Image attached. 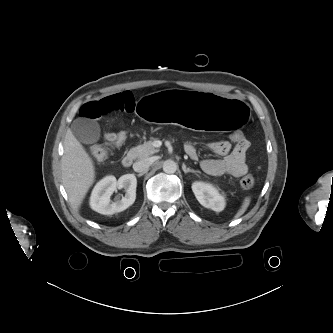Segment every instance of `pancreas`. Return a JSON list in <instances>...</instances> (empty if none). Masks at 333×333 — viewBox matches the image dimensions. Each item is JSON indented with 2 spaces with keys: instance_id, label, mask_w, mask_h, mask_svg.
I'll return each mask as SVG.
<instances>
[{
  "instance_id": "1",
  "label": "pancreas",
  "mask_w": 333,
  "mask_h": 333,
  "mask_svg": "<svg viewBox=\"0 0 333 333\" xmlns=\"http://www.w3.org/2000/svg\"><path fill=\"white\" fill-rule=\"evenodd\" d=\"M159 149L153 146L152 140L145 142L142 145L130 149L128 155L133 159H145L154 153H157Z\"/></svg>"
}]
</instances>
